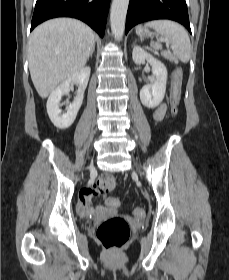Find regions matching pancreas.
<instances>
[{
  "label": "pancreas",
  "mask_w": 229,
  "mask_h": 280,
  "mask_svg": "<svg viewBox=\"0 0 229 280\" xmlns=\"http://www.w3.org/2000/svg\"><path fill=\"white\" fill-rule=\"evenodd\" d=\"M162 56L171 62H175V63L177 62V60L173 57V55L169 51L163 52Z\"/></svg>",
  "instance_id": "obj_1"
}]
</instances>
